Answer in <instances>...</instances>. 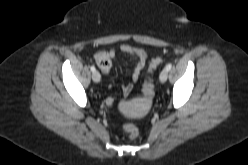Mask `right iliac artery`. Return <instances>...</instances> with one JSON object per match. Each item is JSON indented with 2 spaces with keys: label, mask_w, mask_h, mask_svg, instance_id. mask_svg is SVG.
<instances>
[{
  "label": "right iliac artery",
  "mask_w": 248,
  "mask_h": 165,
  "mask_svg": "<svg viewBox=\"0 0 248 165\" xmlns=\"http://www.w3.org/2000/svg\"><path fill=\"white\" fill-rule=\"evenodd\" d=\"M90 69H91L92 72H95L96 71V69H95L94 66H91Z\"/></svg>",
  "instance_id": "82829eb1"
}]
</instances>
